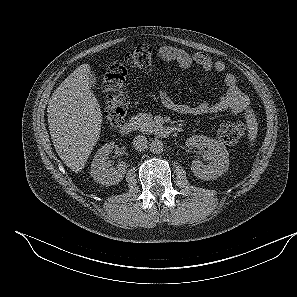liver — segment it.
<instances>
[{
    "mask_svg": "<svg viewBox=\"0 0 297 297\" xmlns=\"http://www.w3.org/2000/svg\"><path fill=\"white\" fill-rule=\"evenodd\" d=\"M89 64L77 67L54 91L47 116L54 148L73 172L81 171L96 145L102 124L97 98L90 91Z\"/></svg>",
    "mask_w": 297,
    "mask_h": 297,
    "instance_id": "6515ba94",
    "label": "liver"
}]
</instances>
